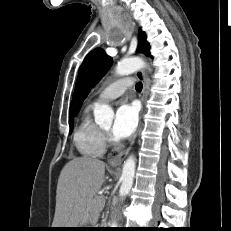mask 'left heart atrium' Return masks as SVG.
Wrapping results in <instances>:
<instances>
[{
	"label": "left heart atrium",
	"mask_w": 231,
	"mask_h": 231,
	"mask_svg": "<svg viewBox=\"0 0 231 231\" xmlns=\"http://www.w3.org/2000/svg\"><path fill=\"white\" fill-rule=\"evenodd\" d=\"M138 123V112L135 106L122 103L115 114L112 126V136L116 140L128 138L136 129Z\"/></svg>",
	"instance_id": "1"
}]
</instances>
